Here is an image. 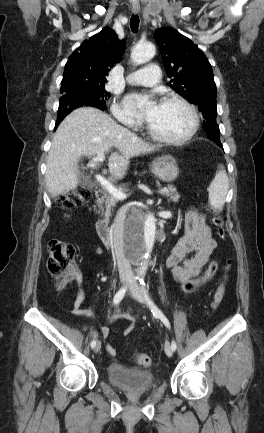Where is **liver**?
Returning <instances> with one entry per match:
<instances>
[{
	"label": "liver",
	"mask_w": 264,
	"mask_h": 433,
	"mask_svg": "<svg viewBox=\"0 0 264 433\" xmlns=\"http://www.w3.org/2000/svg\"><path fill=\"white\" fill-rule=\"evenodd\" d=\"M112 147L117 150L108 158L112 179L124 177L132 157L154 152L158 148L97 108L83 107L71 112L56 130L48 154L45 181L49 194L55 197L76 189L80 157H93Z\"/></svg>",
	"instance_id": "1"
}]
</instances>
